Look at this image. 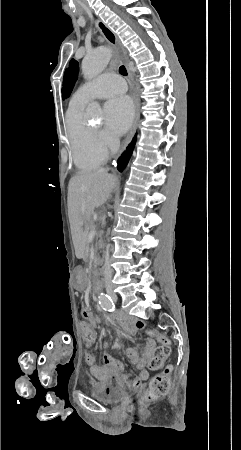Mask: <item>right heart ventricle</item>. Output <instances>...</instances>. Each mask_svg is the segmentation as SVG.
Masks as SVG:
<instances>
[{"label":"right heart ventricle","mask_w":241,"mask_h":450,"mask_svg":"<svg viewBox=\"0 0 241 450\" xmlns=\"http://www.w3.org/2000/svg\"><path fill=\"white\" fill-rule=\"evenodd\" d=\"M86 102L72 100L65 117V130L71 155L78 168H92L103 164L105 150L101 141H94L90 128L83 121Z\"/></svg>","instance_id":"e07e8e85"}]
</instances>
